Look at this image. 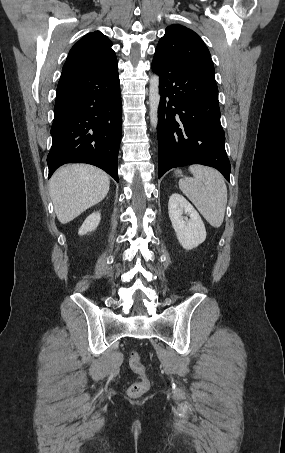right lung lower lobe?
I'll return each mask as SVG.
<instances>
[{
	"instance_id": "right-lung-lower-lobe-1",
	"label": "right lung lower lobe",
	"mask_w": 285,
	"mask_h": 453,
	"mask_svg": "<svg viewBox=\"0 0 285 453\" xmlns=\"http://www.w3.org/2000/svg\"><path fill=\"white\" fill-rule=\"evenodd\" d=\"M121 117L118 67L100 72L62 71L47 156L49 177L63 164L88 163L118 182Z\"/></svg>"
}]
</instances>
